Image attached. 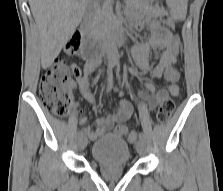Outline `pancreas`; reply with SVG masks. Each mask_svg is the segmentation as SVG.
Segmentation results:
<instances>
[{
	"instance_id": "cf45deb5",
	"label": "pancreas",
	"mask_w": 223,
	"mask_h": 191,
	"mask_svg": "<svg viewBox=\"0 0 223 191\" xmlns=\"http://www.w3.org/2000/svg\"><path fill=\"white\" fill-rule=\"evenodd\" d=\"M113 16L112 1L103 0L97 2L90 11L91 25L98 30H102Z\"/></svg>"
}]
</instances>
